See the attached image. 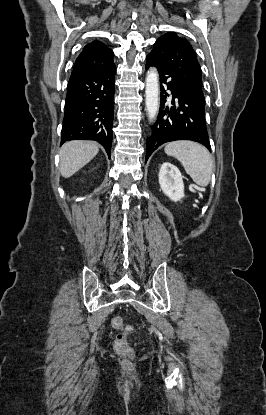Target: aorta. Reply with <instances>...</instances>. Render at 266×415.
<instances>
[{
  "label": "aorta",
  "mask_w": 266,
  "mask_h": 415,
  "mask_svg": "<svg viewBox=\"0 0 266 415\" xmlns=\"http://www.w3.org/2000/svg\"><path fill=\"white\" fill-rule=\"evenodd\" d=\"M159 105V76L157 70L151 68L146 75L145 88V106L150 121L156 117Z\"/></svg>",
  "instance_id": "obj_1"
}]
</instances>
